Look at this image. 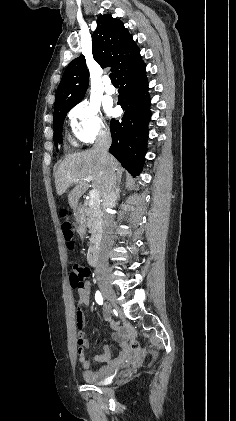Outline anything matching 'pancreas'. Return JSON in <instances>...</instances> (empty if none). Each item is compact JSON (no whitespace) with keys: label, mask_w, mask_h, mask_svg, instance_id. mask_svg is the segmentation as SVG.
Returning a JSON list of instances; mask_svg holds the SVG:
<instances>
[{"label":"pancreas","mask_w":236,"mask_h":421,"mask_svg":"<svg viewBox=\"0 0 236 421\" xmlns=\"http://www.w3.org/2000/svg\"><path fill=\"white\" fill-rule=\"evenodd\" d=\"M84 206L86 225L89 227L90 233H92L89 241L92 247L97 249L102 235L103 211H101V206H99V204H90L89 200H85Z\"/></svg>","instance_id":"obj_1"}]
</instances>
